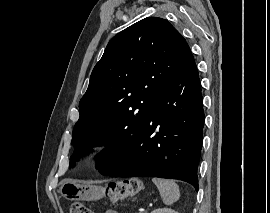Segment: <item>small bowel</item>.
Segmentation results:
<instances>
[{
	"instance_id": "small-bowel-1",
	"label": "small bowel",
	"mask_w": 270,
	"mask_h": 213,
	"mask_svg": "<svg viewBox=\"0 0 270 213\" xmlns=\"http://www.w3.org/2000/svg\"><path fill=\"white\" fill-rule=\"evenodd\" d=\"M104 213H118V212L115 211V210H107V211H105Z\"/></svg>"
}]
</instances>
